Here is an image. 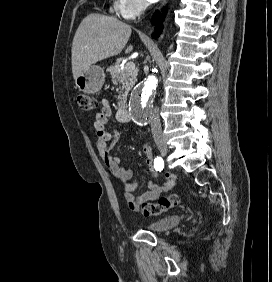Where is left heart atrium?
I'll return each mask as SVG.
<instances>
[{
    "mask_svg": "<svg viewBox=\"0 0 272 282\" xmlns=\"http://www.w3.org/2000/svg\"><path fill=\"white\" fill-rule=\"evenodd\" d=\"M149 1H152V2H154V1H157V0H149Z\"/></svg>",
    "mask_w": 272,
    "mask_h": 282,
    "instance_id": "1",
    "label": "left heart atrium"
}]
</instances>
